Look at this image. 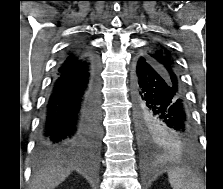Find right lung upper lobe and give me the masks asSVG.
Segmentation results:
<instances>
[{
  "label": "right lung upper lobe",
  "mask_w": 223,
  "mask_h": 189,
  "mask_svg": "<svg viewBox=\"0 0 223 189\" xmlns=\"http://www.w3.org/2000/svg\"><path fill=\"white\" fill-rule=\"evenodd\" d=\"M92 57L95 56L86 44L76 43L65 53L58 72L69 75L79 74L88 68Z\"/></svg>",
  "instance_id": "obj_1"
}]
</instances>
